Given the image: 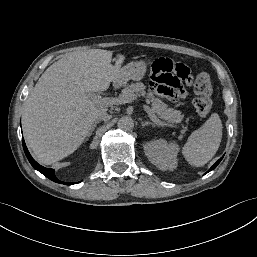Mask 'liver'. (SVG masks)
<instances>
[{
  "mask_svg": "<svg viewBox=\"0 0 257 257\" xmlns=\"http://www.w3.org/2000/svg\"><path fill=\"white\" fill-rule=\"evenodd\" d=\"M90 49L72 52L41 75L24 106L23 131L36 160L53 164L73 153L90 132L96 115L107 106L90 98L116 83L125 56Z\"/></svg>",
  "mask_w": 257,
  "mask_h": 257,
  "instance_id": "liver-1",
  "label": "liver"
}]
</instances>
